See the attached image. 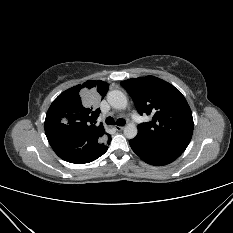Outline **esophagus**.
<instances>
[{
  "instance_id": "34e87169",
  "label": "esophagus",
  "mask_w": 233,
  "mask_h": 233,
  "mask_svg": "<svg viewBox=\"0 0 233 233\" xmlns=\"http://www.w3.org/2000/svg\"><path fill=\"white\" fill-rule=\"evenodd\" d=\"M117 131H122L123 129H124V127L123 126H115L114 127Z\"/></svg>"
}]
</instances>
